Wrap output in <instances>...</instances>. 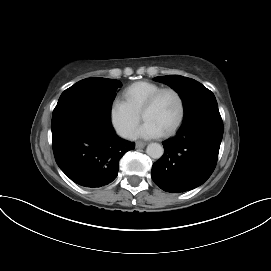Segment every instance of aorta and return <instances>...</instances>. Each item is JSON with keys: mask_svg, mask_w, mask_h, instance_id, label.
<instances>
[{"mask_svg": "<svg viewBox=\"0 0 271 271\" xmlns=\"http://www.w3.org/2000/svg\"><path fill=\"white\" fill-rule=\"evenodd\" d=\"M146 153L154 159H159L164 153L163 147L159 143H150L146 148Z\"/></svg>", "mask_w": 271, "mask_h": 271, "instance_id": "1", "label": "aorta"}]
</instances>
